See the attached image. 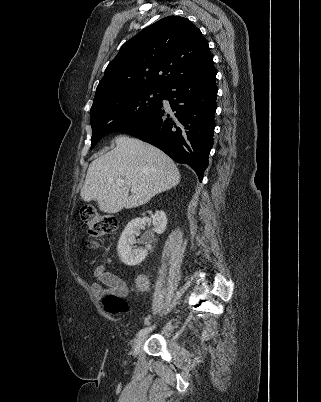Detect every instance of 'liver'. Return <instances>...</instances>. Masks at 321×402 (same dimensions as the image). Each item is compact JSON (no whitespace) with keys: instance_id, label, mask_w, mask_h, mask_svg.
Wrapping results in <instances>:
<instances>
[{"instance_id":"liver-1","label":"liver","mask_w":321,"mask_h":402,"mask_svg":"<svg viewBox=\"0 0 321 402\" xmlns=\"http://www.w3.org/2000/svg\"><path fill=\"white\" fill-rule=\"evenodd\" d=\"M115 143L113 150L90 163L80 191L83 200L97 201L101 211L114 214L144 205L179 184L177 166L160 149L125 135L116 137ZM119 178L123 186L116 184ZM132 187L136 191L129 195Z\"/></svg>"}]
</instances>
